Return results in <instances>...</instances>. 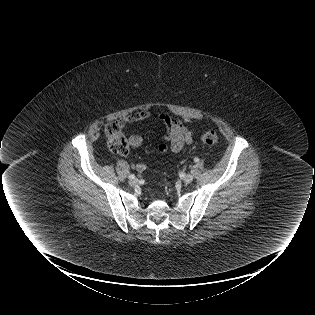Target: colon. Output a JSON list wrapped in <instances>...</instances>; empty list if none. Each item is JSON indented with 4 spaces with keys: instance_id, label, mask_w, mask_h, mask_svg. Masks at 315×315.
Returning a JSON list of instances; mask_svg holds the SVG:
<instances>
[{
    "instance_id": "5ec220e1",
    "label": "colon",
    "mask_w": 315,
    "mask_h": 315,
    "mask_svg": "<svg viewBox=\"0 0 315 315\" xmlns=\"http://www.w3.org/2000/svg\"><path fill=\"white\" fill-rule=\"evenodd\" d=\"M107 144L111 152L117 155H125L129 151V143L122 131V123L119 121L109 123L105 128ZM202 141L208 145H214L218 142V135L215 131L205 132Z\"/></svg>"
}]
</instances>
